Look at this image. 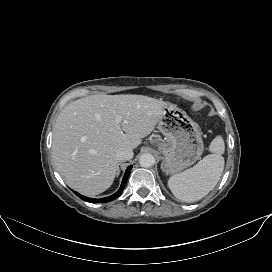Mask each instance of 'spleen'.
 <instances>
[{
    "label": "spleen",
    "instance_id": "obj_1",
    "mask_svg": "<svg viewBox=\"0 0 272 272\" xmlns=\"http://www.w3.org/2000/svg\"><path fill=\"white\" fill-rule=\"evenodd\" d=\"M209 149L212 154L205 156L194 167L169 179V189L177 199L184 202L200 200L218 183L224 170L223 138L217 136Z\"/></svg>",
    "mask_w": 272,
    "mask_h": 272
}]
</instances>
